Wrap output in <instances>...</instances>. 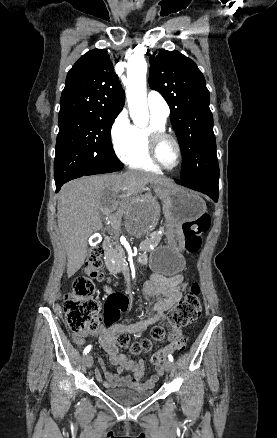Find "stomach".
I'll list each match as a JSON object with an SVG mask.
<instances>
[{"label": "stomach", "instance_id": "obj_1", "mask_svg": "<svg viewBox=\"0 0 277 438\" xmlns=\"http://www.w3.org/2000/svg\"><path fill=\"white\" fill-rule=\"evenodd\" d=\"M163 201L166 245L151 251L149 264L152 271L167 276L183 270L185 259L181 252L185 237L181 226L196 221L206 211L205 201L194 191L183 188L157 187Z\"/></svg>", "mask_w": 277, "mask_h": 438}]
</instances>
